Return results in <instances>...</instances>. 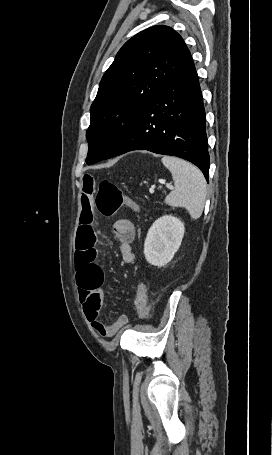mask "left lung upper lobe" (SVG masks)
Listing matches in <instances>:
<instances>
[{"mask_svg": "<svg viewBox=\"0 0 272 455\" xmlns=\"http://www.w3.org/2000/svg\"><path fill=\"white\" fill-rule=\"evenodd\" d=\"M192 62L182 37L168 26H153L129 39L91 105L86 163L107 159L148 103Z\"/></svg>", "mask_w": 272, "mask_h": 455, "instance_id": "obj_1", "label": "left lung upper lobe"}]
</instances>
